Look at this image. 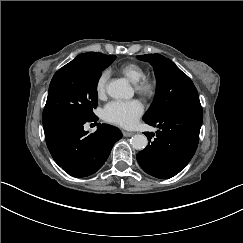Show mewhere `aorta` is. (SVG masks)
Masks as SVG:
<instances>
[{"label":"aorta","mask_w":243,"mask_h":243,"mask_svg":"<svg viewBox=\"0 0 243 243\" xmlns=\"http://www.w3.org/2000/svg\"><path fill=\"white\" fill-rule=\"evenodd\" d=\"M106 93L114 99H130L134 95V91L126 79H112L106 85ZM147 144V137L143 134H136L131 139V145L135 150H143Z\"/></svg>","instance_id":"762f6f07"}]
</instances>
